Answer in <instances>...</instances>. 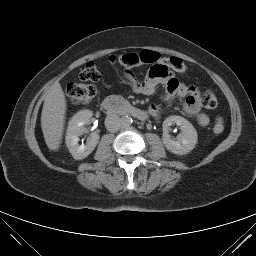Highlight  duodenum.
Here are the masks:
<instances>
[{
  "instance_id": "410a0bca",
  "label": "duodenum",
  "mask_w": 256,
  "mask_h": 256,
  "mask_svg": "<svg viewBox=\"0 0 256 256\" xmlns=\"http://www.w3.org/2000/svg\"><path fill=\"white\" fill-rule=\"evenodd\" d=\"M102 108L109 113H117L121 115H131L140 120H145L147 118V113L140 108L131 105L130 103L110 96L103 100L101 104Z\"/></svg>"
}]
</instances>
